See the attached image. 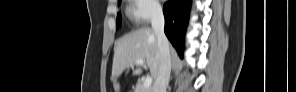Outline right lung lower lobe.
I'll return each instance as SVG.
<instances>
[{
	"label": "right lung lower lobe",
	"mask_w": 296,
	"mask_h": 92,
	"mask_svg": "<svg viewBox=\"0 0 296 92\" xmlns=\"http://www.w3.org/2000/svg\"><path fill=\"white\" fill-rule=\"evenodd\" d=\"M190 5L191 0H173L166 2L163 7L165 34L180 56L183 55L184 36L188 24Z\"/></svg>",
	"instance_id": "right-lung-lower-lobe-1"
}]
</instances>
